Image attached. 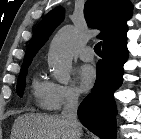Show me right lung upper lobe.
Masks as SVG:
<instances>
[{"label": "right lung upper lobe", "mask_w": 141, "mask_h": 139, "mask_svg": "<svg viewBox=\"0 0 141 139\" xmlns=\"http://www.w3.org/2000/svg\"><path fill=\"white\" fill-rule=\"evenodd\" d=\"M132 7L129 0H88L86 2L85 19L89 26L102 30L99 37L104 40L103 47L126 37L128 31L126 22L132 15ZM63 17V9L57 7L41 20L27 47L22 67L31 64L37 51L48 40Z\"/></svg>", "instance_id": "1"}]
</instances>
